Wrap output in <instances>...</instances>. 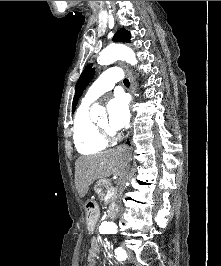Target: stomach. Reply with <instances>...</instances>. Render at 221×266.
I'll list each match as a JSON object with an SVG mask.
<instances>
[{"instance_id": "obj_1", "label": "stomach", "mask_w": 221, "mask_h": 266, "mask_svg": "<svg viewBox=\"0 0 221 266\" xmlns=\"http://www.w3.org/2000/svg\"><path fill=\"white\" fill-rule=\"evenodd\" d=\"M96 218H97V213H96V211H88V212H87V220H88L89 222H92V221L96 220Z\"/></svg>"}]
</instances>
